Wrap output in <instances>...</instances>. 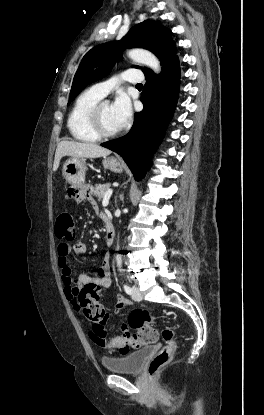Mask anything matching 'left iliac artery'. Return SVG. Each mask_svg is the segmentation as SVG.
<instances>
[{"label": "left iliac artery", "instance_id": "obj_1", "mask_svg": "<svg viewBox=\"0 0 264 415\" xmlns=\"http://www.w3.org/2000/svg\"><path fill=\"white\" fill-rule=\"evenodd\" d=\"M124 290H125V292L127 294H131L132 293V289L128 285H126V284H124Z\"/></svg>", "mask_w": 264, "mask_h": 415}]
</instances>
